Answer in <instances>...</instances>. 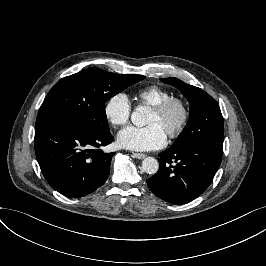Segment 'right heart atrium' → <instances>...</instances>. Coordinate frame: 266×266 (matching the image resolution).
I'll list each match as a JSON object with an SVG mask.
<instances>
[{"instance_id": "1", "label": "right heart atrium", "mask_w": 266, "mask_h": 266, "mask_svg": "<svg viewBox=\"0 0 266 266\" xmlns=\"http://www.w3.org/2000/svg\"><path fill=\"white\" fill-rule=\"evenodd\" d=\"M103 112L106 120L110 124L124 126L131 118L132 104L124 92H117L106 100Z\"/></svg>"}]
</instances>
